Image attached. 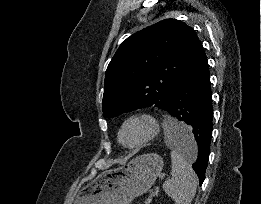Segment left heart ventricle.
I'll return each mask as SVG.
<instances>
[{"instance_id": "1", "label": "left heart ventricle", "mask_w": 261, "mask_h": 204, "mask_svg": "<svg viewBox=\"0 0 261 204\" xmlns=\"http://www.w3.org/2000/svg\"><path fill=\"white\" fill-rule=\"evenodd\" d=\"M147 133V126L142 122H133L126 126L122 133V140L126 144H133L142 139Z\"/></svg>"}]
</instances>
